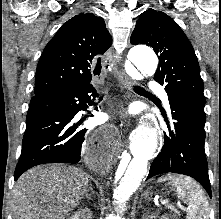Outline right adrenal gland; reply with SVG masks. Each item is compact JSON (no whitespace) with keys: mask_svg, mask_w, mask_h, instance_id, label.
I'll return each instance as SVG.
<instances>
[{"mask_svg":"<svg viewBox=\"0 0 221 219\" xmlns=\"http://www.w3.org/2000/svg\"><path fill=\"white\" fill-rule=\"evenodd\" d=\"M89 191H90V194H89ZM89 191L86 193V198L89 199V200H92V198L90 197V195H95V192L93 190V187L92 185H90V188H89Z\"/></svg>","mask_w":221,"mask_h":219,"instance_id":"1","label":"right adrenal gland"}]
</instances>
